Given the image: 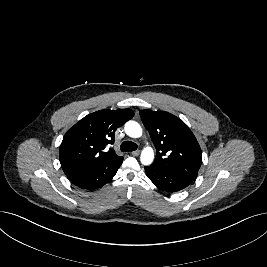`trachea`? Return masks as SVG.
<instances>
[{
  "mask_svg": "<svg viewBox=\"0 0 267 267\" xmlns=\"http://www.w3.org/2000/svg\"><path fill=\"white\" fill-rule=\"evenodd\" d=\"M136 149H137V144L131 141H124L120 146V150L122 152L135 151Z\"/></svg>",
  "mask_w": 267,
  "mask_h": 267,
  "instance_id": "1",
  "label": "trachea"
}]
</instances>
